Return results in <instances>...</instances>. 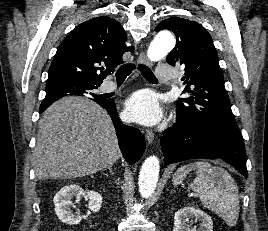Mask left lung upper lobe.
Returning <instances> with one entry per match:
<instances>
[{
  "label": "left lung upper lobe",
  "instance_id": "left-lung-upper-lobe-1",
  "mask_svg": "<svg viewBox=\"0 0 268 231\" xmlns=\"http://www.w3.org/2000/svg\"><path fill=\"white\" fill-rule=\"evenodd\" d=\"M174 32L177 43L167 56L168 64L184 68L185 98L177 101L180 122L200 127L217 128L242 138L236 124L217 51L210 34L199 23L179 17L163 20L155 31Z\"/></svg>",
  "mask_w": 268,
  "mask_h": 231
}]
</instances>
